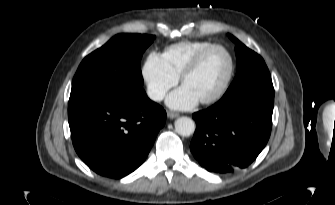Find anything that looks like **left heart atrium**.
Wrapping results in <instances>:
<instances>
[{
    "label": "left heart atrium",
    "instance_id": "obj_1",
    "mask_svg": "<svg viewBox=\"0 0 335 205\" xmlns=\"http://www.w3.org/2000/svg\"><path fill=\"white\" fill-rule=\"evenodd\" d=\"M196 96L184 85L172 92L167 104L174 109H189L198 103Z\"/></svg>",
    "mask_w": 335,
    "mask_h": 205
}]
</instances>
